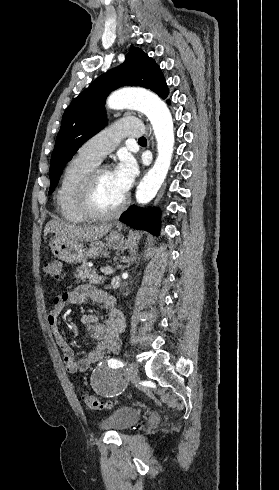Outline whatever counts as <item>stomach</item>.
Wrapping results in <instances>:
<instances>
[{"label":"stomach","mask_w":279,"mask_h":490,"mask_svg":"<svg viewBox=\"0 0 279 490\" xmlns=\"http://www.w3.org/2000/svg\"><path fill=\"white\" fill-rule=\"evenodd\" d=\"M114 226L117 230H109L108 236L105 234L106 244L94 246V242H92L87 250L80 242H72L68 238L54 236L53 240L49 242L51 252L55 258L67 262V264H80V262H86L87 258H99V256L107 258L108 250H120L124 242L123 236L119 234L120 228L122 230V224H114Z\"/></svg>","instance_id":"stomach-1"}]
</instances>
